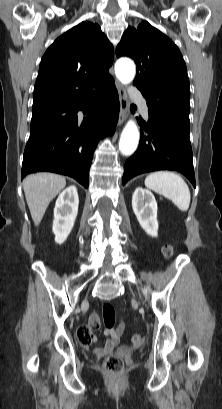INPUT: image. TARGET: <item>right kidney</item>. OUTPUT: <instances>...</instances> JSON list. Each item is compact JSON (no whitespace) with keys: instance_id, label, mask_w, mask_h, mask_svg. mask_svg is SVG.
I'll list each match as a JSON object with an SVG mask.
<instances>
[{"instance_id":"ca27d5eb","label":"right kidney","mask_w":222,"mask_h":409,"mask_svg":"<svg viewBox=\"0 0 222 409\" xmlns=\"http://www.w3.org/2000/svg\"><path fill=\"white\" fill-rule=\"evenodd\" d=\"M78 205L79 198L74 185L63 190L56 200L53 220L56 243L62 244L70 234L78 214Z\"/></svg>"}]
</instances>
